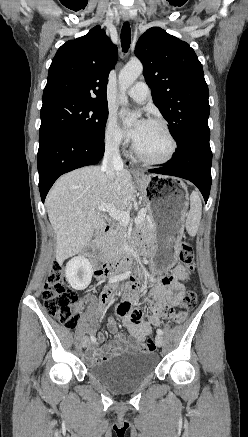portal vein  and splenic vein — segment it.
Segmentation results:
<instances>
[{
	"instance_id": "portal-vein-and-splenic-vein-1",
	"label": "portal vein and splenic vein",
	"mask_w": 248,
	"mask_h": 437,
	"mask_svg": "<svg viewBox=\"0 0 248 437\" xmlns=\"http://www.w3.org/2000/svg\"><path fill=\"white\" fill-rule=\"evenodd\" d=\"M99 211L102 212H108L109 215L117 220L120 224L124 225V226H128L130 223V216L129 214H127L124 211L118 210L116 207H114L111 204H104V205H100L98 207ZM146 215V209L142 208L138 214V216L134 219V222L140 223L143 219V217Z\"/></svg>"
}]
</instances>
